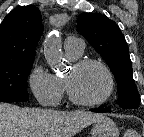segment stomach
<instances>
[{"label":"stomach","mask_w":144,"mask_h":137,"mask_svg":"<svg viewBox=\"0 0 144 137\" xmlns=\"http://www.w3.org/2000/svg\"><path fill=\"white\" fill-rule=\"evenodd\" d=\"M92 137H119V130L112 119L104 116L95 122Z\"/></svg>","instance_id":"1"}]
</instances>
